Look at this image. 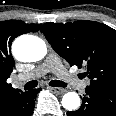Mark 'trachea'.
I'll return each instance as SVG.
<instances>
[{"mask_svg":"<svg viewBox=\"0 0 116 116\" xmlns=\"http://www.w3.org/2000/svg\"><path fill=\"white\" fill-rule=\"evenodd\" d=\"M37 85H38V82L36 80H32L26 83L24 89L30 90V89L37 87ZM49 85L53 87H66L67 86L66 83H64L63 81H59V80H51L49 82Z\"/></svg>","mask_w":116,"mask_h":116,"instance_id":"1","label":"trachea"}]
</instances>
